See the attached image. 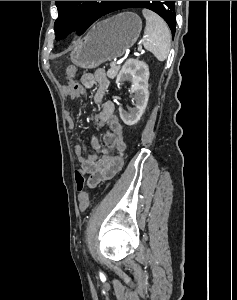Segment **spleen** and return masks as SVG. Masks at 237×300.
Instances as JSON below:
<instances>
[{
	"mask_svg": "<svg viewBox=\"0 0 237 300\" xmlns=\"http://www.w3.org/2000/svg\"><path fill=\"white\" fill-rule=\"evenodd\" d=\"M146 27L143 35V45L147 51L153 53L158 61H165L171 47V35L167 23L148 9H143Z\"/></svg>",
	"mask_w": 237,
	"mask_h": 300,
	"instance_id": "spleen-1",
	"label": "spleen"
}]
</instances>
